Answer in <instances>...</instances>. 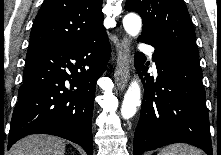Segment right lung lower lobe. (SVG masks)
Masks as SVG:
<instances>
[{
    "label": "right lung lower lobe",
    "instance_id": "obj_1",
    "mask_svg": "<svg viewBox=\"0 0 221 155\" xmlns=\"http://www.w3.org/2000/svg\"><path fill=\"white\" fill-rule=\"evenodd\" d=\"M109 55L106 33L79 43L29 47L8 149L26 135L43 133L68 139L93 155L96 81Z\"/></svg>",
    "mask_w": 221,
    "mask_h": 155
}]
</instances>
